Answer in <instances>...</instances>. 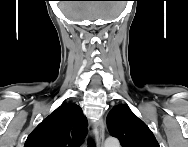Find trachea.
Here are the masks:
<instances>
[{"label":"trachea","instance_id":"obj_1","mask_svg":"<svg viewBox=\"0 0 188 147\" xmlns=\"http://www.w3.org/2000/svg\"><path fill=\"white\" fill-rule=\"evenodd\" d=\"M88 147H95V145H94L93 142H91V143H89V146H88Z\"/></svg>","mask_w":188,"mask_h":147}]
</instances>
